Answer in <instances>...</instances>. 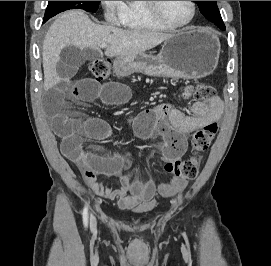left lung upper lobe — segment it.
Returning a JSON list of instances; mask_svg holds the SVG:
<instances>
[{"mask_svg": "<svg viewBox=\"0 0 271 266\" xmlns=\"http://www.w3.org/2000/svg\"><path fill=\"white\" fill-rule=\"evenodd\" d=\"M199 7L200 12L209 21L213 22L220 29H224L222 17L217 7V1H195ZM225 30V29H224Z\"/></svg>", "mask_w": 271, "mask_h": 266, "instance_id": "1", "label": "left lung upper lobe"}]
</instances>
